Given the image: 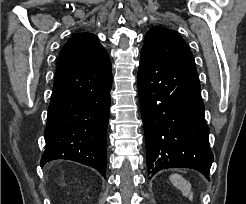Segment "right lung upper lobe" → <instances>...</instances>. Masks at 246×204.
Wrapping results in <instances>:
<instances>
[{
	"label": "right lung upper lobe",
	"instance_id": "obj_1",
	"mask_svg": "<svg viewBox=\"0 0 246 204\" xmlns=\"http://www.w3.org/2000/svg\"><path fill=\"white\" fill-rule=\"evenodd\" d=\"M111 66L107 51L94 34L80 33L69 39L63 46L57 71Z\"/></svg>",
	"mask_w": 246,
	"mask_h": 204
}]
</instances>
